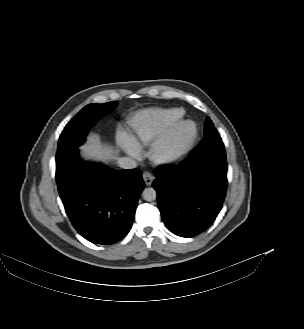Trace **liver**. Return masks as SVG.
Returning <instances> with one entry per match:
<instances>
[{"instance_id":"liver-1","label":"liver","mask_w":304,"mask_h":329,"mask_svg":"<svg viewBox=\"0 0 304 329\" xmlns=\"http://www.w3.org/2000/svg\"><path fill=\"white\" fill-rule=\"evenodd\" d=\"M84 156L103 161L113 159L114 151L112 147L101 142L97 134H92L88 137V142L81 147Z\"/></svg>"}]
</instances>
